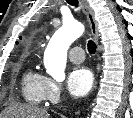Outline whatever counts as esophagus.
<instances>
[{
    "label": "esophagus",
    "mask_w": 133,
    "mask_h": 118,
    "mask_svg": "<svg viewBox=\"0 0 133 118\" xmlns=\"http://www.w3.org/2000/svg\"><path fill=\"white\" fill-rule=\"evenodd\" d=\"M80 4H81L83 12L85 13V15L87 17L92 36L98 45L99 32H98V28H97V26H98L97 21L94 17V12H93L92 8L90 7L87 0H80Z\"/></svg>",
    "instance_id": "obj_1"
}]
</instances>
